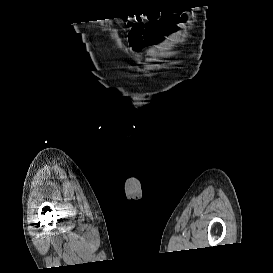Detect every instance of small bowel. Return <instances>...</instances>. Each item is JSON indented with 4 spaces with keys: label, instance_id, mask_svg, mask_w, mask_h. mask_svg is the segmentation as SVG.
I'll return each mask as SVG.
<instances>
[{
    "label": "small bowel",
    "instance_id": "1",
    "mask_svg": "<svg viewBox=\"0 0 273 273\" xmlns=\"http://www.w3.org/2000/svg\"><path fill=\"white\" fill-rule=\"evenodd\" d=\"M186 21L185 15H177L172 14L169 16H166L164 18H157L153 21H150L147 23L149 26V34L147 36H144L141 40L132 43L133 50L136 52H140L143 49L155 46L159 44L164 36H171L175 33L176 27L180 23H184Z\"/></svg>",
    "mask_w": 273,
    "mask_h": 273
}]
</instances>
